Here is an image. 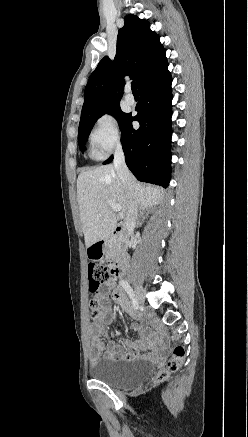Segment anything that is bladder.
I'll return each mask as SVG.
<instances>
[{
    "instance_id": "bladder-1",
    "label": "bladder",
    "mask_w": 248,
    "mask_h": 437,
    "mask_svg": "<svg viewBox=\"0 0 248 437\" xmlns=\"http://www.w3.org/2000/svg\"><path fill=\"white\" fill-rule=\"evenodd\" d=\"M154 372V363L146 359L119 361L104 358L91 370V375L111 387L124 388L146 381Z\"/></svg>"
}]
</instances>
